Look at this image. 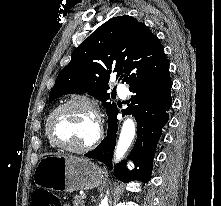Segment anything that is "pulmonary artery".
Here are the masks:
<instances>
[{
    "label": "pulmonary artery",
    "instance_id": "pulmonary-artery-1",
    "mask_svg": "<svg viewBox=\"0 0 221 206\" xmlns=\"http://www.w3.org/2000/svg\"><path fill=\"white\" fill-rule=\"evenodd\" d=\"M117 91L120 97L125 98L127 96V90L124 84L118 83L117 84Z\"/></svg>",
    "mask_w": 221,
    "mask_h": 206
}]
</instances>
